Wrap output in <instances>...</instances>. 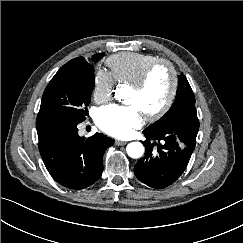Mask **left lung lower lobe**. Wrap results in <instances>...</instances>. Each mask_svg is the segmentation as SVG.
<instances>
[{"mask_svg":"<svg viewBox=\"0 0 243 243\" xmlns=\"http://www.w3.org/2000/svg\"><path fill=\"white\" fill-rule=\"evenodd\" d=\"M145 154L134 166L136 177L152 188L173 184L184 172L196 145L193 128L179 125L175 129L150 133L143 131Z\"/></svg>","mask_w":243,"mask_h":243,"instance_id":"0a47b994","label":"left lung lower lobe"}]
</instances>
